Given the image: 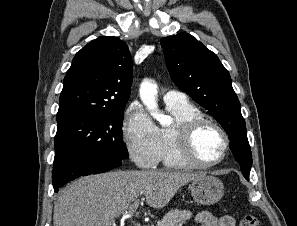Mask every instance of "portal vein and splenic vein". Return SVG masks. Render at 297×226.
<instances>
[{
    "instance_id": "18ae733b",
    "label": "portal vein and splenic vein",
    "mask_w": 297,
    "mask_h": 226,
    "mask_svg": "<svg viewBox=\"0 0 297 226\" xmlns=\"http://www.w3.org/2000/svg\"><path fill=\"white\" fill-rule=\"evenodd\" d=\"M138 205H139V200H135L134 203L129 208V211L128 212L126 211L123 213V218H131L133 212L136 211Z\"/></svg>"
}]
</instances>
